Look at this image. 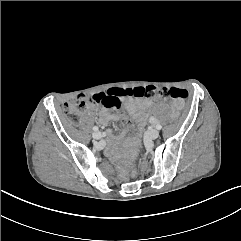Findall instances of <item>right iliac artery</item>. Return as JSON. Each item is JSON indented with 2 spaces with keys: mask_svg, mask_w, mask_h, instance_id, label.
Segmentation results:
<instances>
[{
  "mask_svg": "<svg viewBox=\"0 0 241 241\" xmlns=\"http://www.w3.org/2000/svg\"><path fill=\"white\" fill-rule=\"evenodd\" d=\"M93 130H94V131H98V127H97V126H94V127H93Z\"/></svg>",
  "mask_w": 241,
  "mask_h": 241,
  "instance_id": "right-iliac-artery-1",
  "label": "right iliac artery"
}]
</instances>
